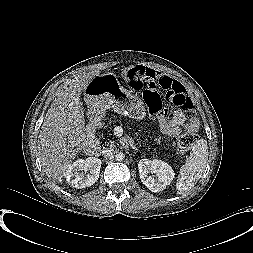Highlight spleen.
<instances>
[{"instance_id": "obj_1", "label": "spleen", "mask_w": 253, "mask_h": 253, "mask_svg": "<svg viewBox=\"0 0 253 253\" xmlns=\"http://www.w3.org/2000/svg\"><path fill=\"white\" fill-rule=\"evenodd\" d=\"M208 160V146L205 139L198 140L192 147V152L186 163L180 168L177 179V194L187 192L201 178Z\"/></svg>"}]
</instances>
